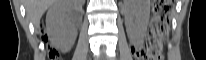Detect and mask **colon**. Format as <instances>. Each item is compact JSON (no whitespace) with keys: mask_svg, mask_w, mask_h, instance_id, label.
Listing matches in <instances>:
<instances>
[{"mask_svg":"<svg viewBox=\"0 0 206 60\" xmlns=\"http://www.w3.org/2000/svg\"><path fill=\"white\" fill-rule=\"evenodd\" d=\"M171 0H155L153 3V19L149 28V40L146 48L137 52L139 60H163L162 41L167 35L169 26V12ZM42 39L47 40L42 31ZM50 58H55L57 53L53 49L48 50Z\"/></svg>","mask_w":206,"mask_h":60,"instance_id":"colon-1","label":"colon"}]
</instances>
